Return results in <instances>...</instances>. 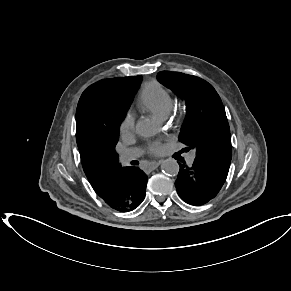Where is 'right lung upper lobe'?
<instances>
[{
	"mask_svg": "<svg viewBox=\"0 0 291 291\" xmlns=\"http://www.w3.org/2000/svg\"><path fill=\"white\" fill-rule=\"evenodd\" d=\"M130 78H109L92 84L82 93L77 105L76 140L82 166L93 189L104 201H108L117 191V173L122 167L116 152L101 139L97 88L108 85L114 90H124Z\"/></svg>",
	"mask_w": 291,
	"mask_h": 291,
	"instance_id": "right-lung-upper-lobe-1",
	"label": "right lung upper lobe"
}]
</instances>
